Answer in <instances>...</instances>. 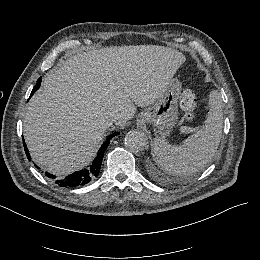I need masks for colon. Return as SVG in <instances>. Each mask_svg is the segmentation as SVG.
<instances>
[{
	"label": "colon",
	"mask_w": 260,
	"mask_h": 260,
	"mask_svg": "<svg viewBox=\"0 0 260 260\" xmlns=\"http://www.w3.org/2000/svg\"><path fill=\"white\" fill-rule=\"evenodd\" d=\"M179 101L184 112L186 124L191 125L196 118L199 96L193 90L187 89L181 93Z\"/></svg>",
	"instance_id": "1"
}]
</instances>
